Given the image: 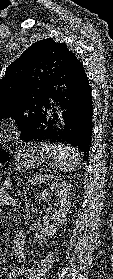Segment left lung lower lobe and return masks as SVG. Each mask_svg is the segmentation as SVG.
Listing matches in <instances>:
<instances>
[{
	"label": "left lung lower lobe",
	"mask_w": 113,
	"mask_h": 279,
	"mask_svg": "<svg viewBox=\"0 0 113 279\" xmlns=\"http://www.w3.org/2000/svg\"><path fill=\"white\" fill-rule=\"evenodd\" d=\"M91 88L83 64L72 53L54 82L43 92L26 142L64 143L88 159L92 136Z\"/></svg>",
	"instance_id": "left-lung-lower-lobe-1"
}]
</instances>
